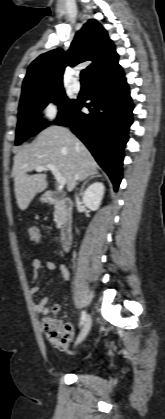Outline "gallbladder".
<instances>
[{
	"label": "gallbladder",
	"mask_w": 165,
	"mask_h": 419,
	"mask_svg": "<svg viewBox=\"0 0 165 419\" xmlns=\"http://www.w3.org/2000/svg\"><path fill=\"white\" fill-rule=\"evenodd\" d=\"M56 197H57V198H62L63 196H62V194H59V195H57Z\"/></svg>",
	"instance_id": "bac80fb5"
}]
</instances>
